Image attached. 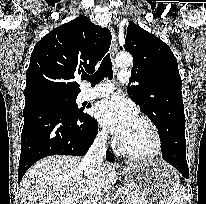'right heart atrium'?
I'll return each instance as SVG.
<instances>
[{
  "instance_id": "1",
  "label": "right heart atrium",
  "mask_w": 206,
  "mask_h": 204,
  "mask_svg": "<svg viewBox=\"0 0 206 204\" xmlns=\"http://www.w3.org/2000/svg\"><path fill=\"white\" fill-rule=\"evenodd\" d=\"M108 138V133L105 128H100L98 131V139L105 142Z\"/></svg>"
}]
</instances>
